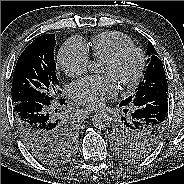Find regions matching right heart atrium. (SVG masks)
I'll return each mask as SVG.
<instances>
[{"mask_svg": "<svg viewBox=\"0 0 184 184\" xmlns=\"http://www.w3.org/2000/svg\"><path fill=\"white\" fill-rule=\"evenodd\" d=\"M57 63L69 77L84 73L89 65V50L86 43L78 37L68 39L58 52Z\"/></svg>", "mask_w": 184, "mask_h": 184, "instance_id": "obj_1", "label": "right heart atrium"}]
</instances>
